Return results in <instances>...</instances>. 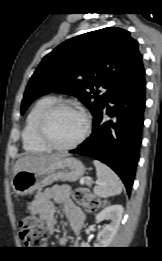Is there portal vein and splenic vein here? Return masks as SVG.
I'll return each mask as SVG.
<instances>
[{
    "label": "portal vein and splenic vein",
    "instance_id": "portal-vein-and-splenic-vein-1",
    "mask_svg": "<svg viewBox=\"0 0 162 261\" xmlns=\"http://www.w3.org/2000/svg\"><path fill=\"white\" fill-rule=\"evenodd\" d=\"M85 183V178H82L81 180H80V184H84Z\"/></svg>",
    "mask_w": 162,
    "mask_h": 261
}]
</instances>
